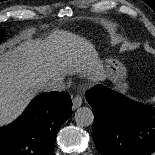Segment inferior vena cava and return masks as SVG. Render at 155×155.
<instances>
[{
    "instance_id": "602c4592",
    "label": "inferior vena cava",
    "mask_w": 155,
    "mask_h": 155,
    "mask_svg": "<svg viewBox=\"0 0 155 155\" xmlns=\"http://www.w3.org/2000/svg\"><path fill=\"white\" fill-rule=\"evenodd\" d=\"M65 89V85L60 80H50L48 81L42 88V90L50 92V91H63Z\"/></svg>"
}]
</instances>
